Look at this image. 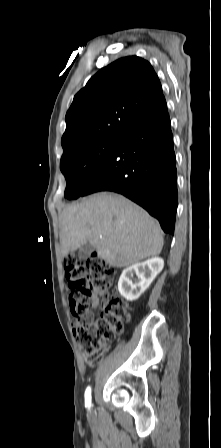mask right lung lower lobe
Wrapping results in <instances>:
<instances>
[{"mask_svg":"<svg viewBox=\"0 0 221 448\" xmlns=\"http://www.w3.org/2000/svg\"><path fill=\"white\" fill-rule=\"evenodd\" d=\"M175 161L164 102L122 131L82 196L98 191L123 194L157 218L165 233L173 235L178 205Z\"/></svg>","mask_w":221,"mask_h":448,"instance_id":"1","label":"right lung lower lobe"}]
</instances>
